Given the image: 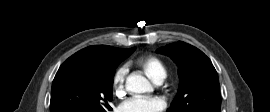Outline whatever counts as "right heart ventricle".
Segmentation results:
<instances>
[{"instance_id":"right-heart-ventricle-1","label":"right heart ventricle","mask_w":270,"mask_h":112,"mask_svg":"<svg viewBox=\"0 0 270 112\" xmlns=\"http://www.w3.org/2000/svg\"><path fill=\"white\" fill-rule=\"evenodd\" d=\"M138 65L153 80L164 79L166 76V66L161 58L149 55L138 61Z\"/></svg>"}]
</instances>
